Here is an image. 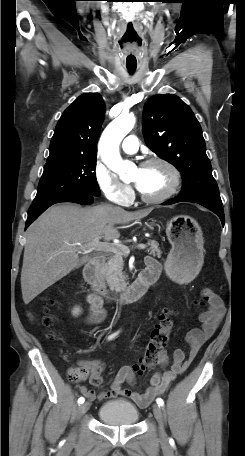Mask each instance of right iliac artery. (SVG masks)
Returning a JSON list of instances; mask_svg holds the SVG:
<instances>
[{
	"label": "right iliac artery",
	"mask_w": 245,
	"mask_h": 456,
	"mask_svg": "<svg viewBox=\"0 0 245 456\" xmlns=\"http://www.w3.org/2000/svg\"><path fill=\"white\" fill-rule=\"evenodd\" d=\"M117 334H118V333L112 334L111 336H109L108 339L110 340V339L114 338ZM84 401H85L84 397H80V398L78 399V404H83Z\"/></svg>",
	"instance_id": "1"
}]
</instances>
